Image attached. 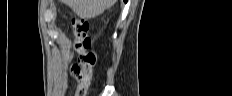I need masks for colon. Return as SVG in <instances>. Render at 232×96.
<instances>
[{
    "mask_svg": "<svg viewBox=\"0 0 232 96\" xmlns=\"http://www.w3.org/2000/svg\"><path fill=\"white\" fill-rule=\"evenodd\" d=\"M72 29L76 39L75 49L80 57L81 65L92 67L96 64L97 56L92 49V40L88 37L89 23L85 19H72ZM74 72L81 74L80 66L73 67ZM88 80L82 77V82L78 87L77 95L82 96L86 91Z\"/></svg>",
    "mask_w": 232,
    "mask_h": 96,
    "instance_id": "1",
    "label": "colon"
}]
</instances>
